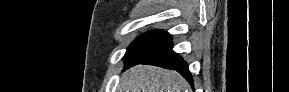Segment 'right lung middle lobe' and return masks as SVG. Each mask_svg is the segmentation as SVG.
<instances>
[{"label":"right lung middle lobe","instance_id":"1","mask_svg":"<svg viewBox=\"0 0 289 92\" xmlns=\"http://www.w3.org/2000/svg\"><path fill=\"white\" fill-rule=\"evenodd\" d=\"M172 36L165 31H149L134 40L127 49L123 59L125 68L132 62L155 55L172 47Z\"/></svg>","mask_w":289,"mask_h":92}]
</instances>
